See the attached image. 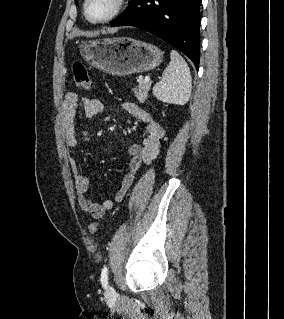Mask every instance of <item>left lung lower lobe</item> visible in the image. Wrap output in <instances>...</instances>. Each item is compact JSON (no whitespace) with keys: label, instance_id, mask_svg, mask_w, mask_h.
I'll use <instances>...</instances> for the list:
<instances>
[{"label":"left lung lower lobe","instance_id":"0a47b994","mask_svg":"<svg viewBox=\"0 0 284 319\" xmlns=\"http://www.w3.org/2000/svg\"><path fill=\"white\" fill-rule=\"evenodd\" d=\"M201 0H131L111 26H134L184 53L199 68Z\"/></svg>","mask_w":284,"mask_h":319}]
</instances>
